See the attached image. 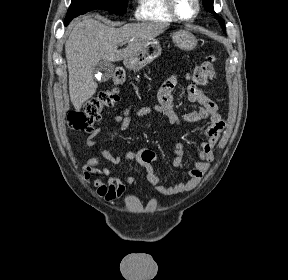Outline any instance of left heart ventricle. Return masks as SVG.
<instances>
[{
    "label": "left heart ventricle",
    "mask_w": 288,
    "mask_h": 280,
    "mask_svg": "<svg viewBox=\"0 0 288 280\" xmlns=\"http://www.w3.org/2000/svg\"><path fill=\"white\" fill-rule=\"evenodd\" d=\"M178 13L184 17H191L196 9L194 0H175Z\"/></svg>",
    "instance_id": "left-heart-ventricle-1"
}]
</instances>
